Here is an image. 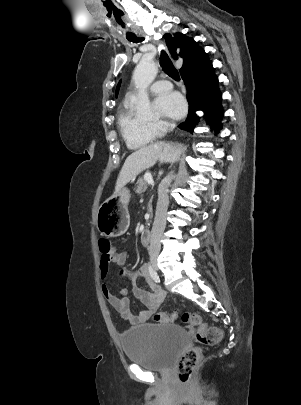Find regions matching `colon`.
Here are the masks:
<instances>
[{"label":"colon","instance_id":"1","mask_svg":"<svg viewBox=\"0 0 301 405\" xmlns=\"http://www.w3.org/2000/svg\"><path fill=\"white\" fill-rule=\"evenodd\" d=\"M98 245L101 253L108 256L112 247L105 236L101 237ZM178 318L185 324L197 327L195 338L200 345L213 346L218 344L222 339V331L215 327H208L197 313L174 312L167 314L165 312H158L154 314V320L159 323H170ZM201 356L202 350L200 347H193L183 354L178 363V376L182 383L188 384L190 382L192 374L201 360Z\"/></svg>","mask_w":301,"mask_h":405}]
</instances>
